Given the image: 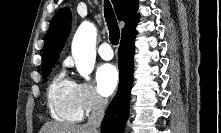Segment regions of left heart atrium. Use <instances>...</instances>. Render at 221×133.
I'll return each instance as SVG.
<instances>
[{
	"label": "left heart atrium",
	"instance_id": "1",
	"mask_svg": "<svg viewBox=\"0 0 221 133\" xmlns=\"http://www.w3.org/2000/svg\"><path fill=\"white\" fill-rule=\"evenodd\" d=\"M119 75L112 64L101 65L96 72V83L102 96H110L118 86Z\"/></svg>",
	"mask_w": 221,
	"mask_h": 133
}]
</instances>
